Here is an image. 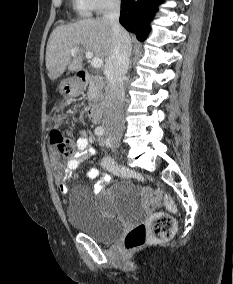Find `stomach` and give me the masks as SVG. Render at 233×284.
I'll list each match as a JSON object with an SVG mask.
<instances>
[{"instance_id":"0dacf381","label":"stomach","mask_w":233,"mask_h":284,"mask_svg":"<svg viewBox=\"0 0 233 284\" xmlns=\"http://www.w3.org/2000/svg\"><path fill=\"white\" fill-rule=\"evenodd\" d=\"M82 83L76 78L63 80L59 85V91L64 97L77 96L82 90Z\"/></svg>"}]
</instances>
